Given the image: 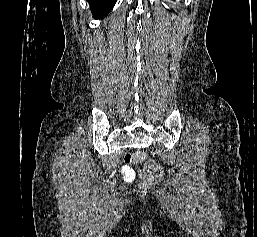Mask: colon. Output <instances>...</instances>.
Returning <instances> with one entry per match:
<instances>
[{
	"label": "colon",
	"mask_w": 257,
	"mask_h": 237,
	"mask_svg": "<svg viewBox=\"0 0 257 237\" xmlns=\"http://www.w3.org/2000/svg\"><path fill=\"white\" fill-rule=\"evenodd\" d=\"M146 155L143 151H134L125 157L126 162H141L145 159ZM140 177L142 179V187H146L151 181L159 179L163 176L161 167L154 164H147L139 169Z\"/></svg>",
	"instance_id": "5ec220e1"
}]
</instances>
